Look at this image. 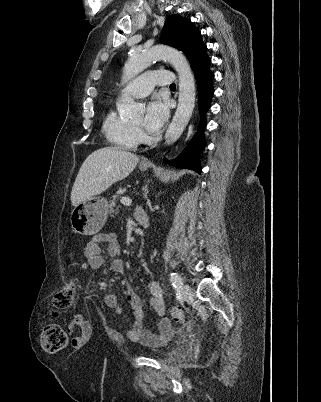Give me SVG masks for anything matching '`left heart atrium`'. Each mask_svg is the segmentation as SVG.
<instances>
[{
	"label": "left heart atrium",
	"mask_w": 321,
	"mask_h": 402,
	"mask_svg": "<svg viewBox=\"0 0 321 402\" xmlns=\"http://www.w3.org/2000/svg\"><path fill=\"white\" fill-rule=\"evenodd\" d=\"M168 116L167 104L158 98H154L147 104L144 126L148 132L158 133L166 123Z\"/></svg>",
	"instance_id": "obj_1"
}]
</instances>
